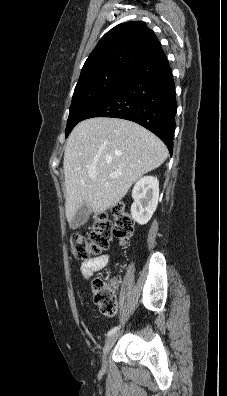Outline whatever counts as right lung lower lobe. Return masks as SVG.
Returning <instances> with one entry per match:
<instances>
[{"instance_id": "right-lung-lower-lobe-1", "label": "right lung lower lobe", "mask_w": 227, "mask_h": 396, "mask_svg": "<svg viewBox=\"0 0 227 396\" xmlns=\"http://www.w3.org/2000/svg\"><path fill=\"white\" fill-rule=\"evenodd\" d=\"M177 104L171 68L163 51L141 63L83 117H114L136 122L173 151Z\"/></svg>"}]
</instances>
